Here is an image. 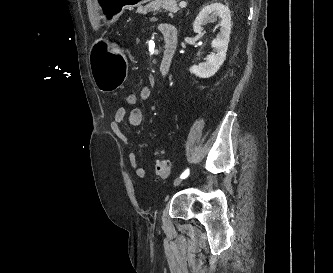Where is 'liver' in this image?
<instances>
[{
    "instance_id": "6515ba94",
    "label": "liver",
    "mask_w": 333,
    "mask_h": 273,
    "mask_svg": "<svg viewBox=\"0 0 333 273\" xmlns=\"http://www.w3.org/2000/svg\"><path fill=\"white\" fill-rule=\"evenodd\" d=\"M87 9L89 20L91 25L95 31H97L100 27V20L102 18L100 14L99 2L98 0H87Z\"/></svg>"
}]
</instances>
